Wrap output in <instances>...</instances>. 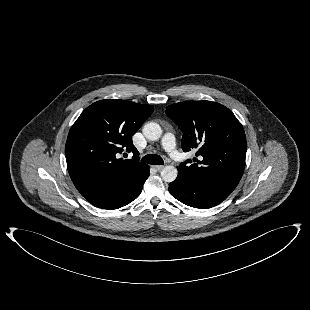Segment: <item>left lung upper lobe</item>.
<instances>
[{
    "label": "left lung upper lobe",
    "mask_w": 310,
    "mask_h": 310,
    "mask_svg": "<svg viewBox=\"0 0 310 310\" xmlns=\"http://www.w3.org/2000/svg\"><path fill=\"white\" fill-rule=\"evenodd\" d=\"M166 114L183 132V151L197 150L194 163H182L178 173L232 192L242 177L247 149L243 126L235 115L211 101L172 104Z\"/></svg>",
    "instance_id": "obj_1"
}]
</instances>
